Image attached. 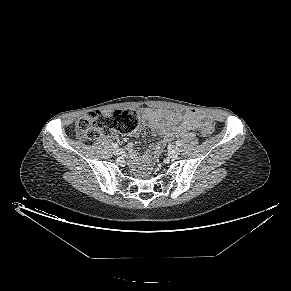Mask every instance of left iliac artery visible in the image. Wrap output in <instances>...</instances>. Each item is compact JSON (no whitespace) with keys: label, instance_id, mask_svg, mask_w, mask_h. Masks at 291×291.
<instances>
[{"label":"left iliac artery","instance_id":"obj_1","mask_svg":"<svg viewBox=\"0 0 291 291\" xmlns=\"http://www.w3.org/2000/svg\"><path fill=\"white\" fill-rule=\"evenodd\" d=\"M176 145H177V146H181V145H182L181 141H177V142H176Z\"/></svg>","mask_w":291,"mask_h":291}]
</instances>
